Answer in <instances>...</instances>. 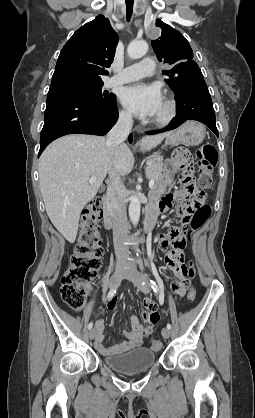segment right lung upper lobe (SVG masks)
I'll use <instances>...</instances> for the list:
<instances>
[{
	"label": "right lung upper lobe",
	"instance_id": "1",
	"mask_svg": "<svg viewBox=\"0 0 255 418\" xmlns=\"http://www.w3.org/2000/svg\"><path fill=\"white\" fill-rule=\"evenodd\" d=\"M118 43L107 18L98 15L78 29L64 45L56 63L51 86L73 82H103Z\"/></svg>",
	"mask_w": 255,
	"mask_h": 418
}]
</instances>
